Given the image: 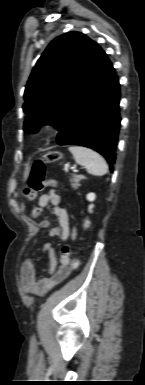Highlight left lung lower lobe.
Segmentation results:
<instances>
[{
  "mask_svg": "<svg viewBox=\"0 0 145 385\" xmlns=\"http://www.w3.org/2000/svg\"><path fill=\"white\" fill-rule=\"evenodd\" d=\"M119 99L118 77L99 48L93 67L59 129L58 144L91 148L114 164L121 120Z\"/></svg>",
  "mask_w": 145,
  "mask_h": 385,
  "instance_id": "0a47b994",
  "label": "left lung lower lobe"
}]
</instances>
